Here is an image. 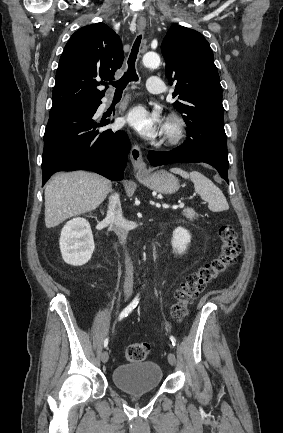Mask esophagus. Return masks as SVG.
Returning <instances> with one entry per match:
<instances>
[{
  "instance_id": "1",
  "label": "esophagus",
  "mask_w": 283,
  "mask_h": 433,
  "mask_svg": "<svg viewBox=\"0 0 283 433\" xmlns=\"http://www.w3.org/2000/svg\"><path fill=\"white\" fill-rule=\"evenodd\" d=\"M146 27V23H138V30L142 31ZM130 159L135 173H143L147 171L146 163L143 160L142 152L137 145H134L130 151Z\"/></svg>"
}]
</instances>
